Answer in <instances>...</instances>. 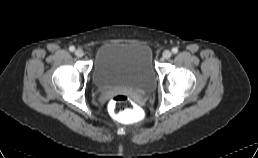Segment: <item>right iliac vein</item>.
Here are the masks:
<instances>
[{
	"mask_svg": "<svg viewBox=\"0 0 258 158\" xmlns=\"http://www.w3.org/2000/svg\"><path fill=\"white\" fill-rule=\"evenodd\" d=\"M75 55H76L77 57L81 58V57H83V55H84V51H83L82 49H77V50L75 51Z\"/></svg>",
	"mask_w": 258,
	"mask_h": 158,
	"instance_id": "right-iliac-vein-1",
	"label": "right iliac vein"
}]
</instances>
